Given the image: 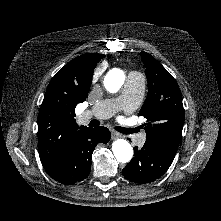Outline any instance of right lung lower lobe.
<instances>
[{
    "mask_svg": "<svg viewBox=\"0 0 221 221\" xmlns=\"http://www.w3.org/2000/svg\"><path fill=\"white\" fill-rule=\"evenodd\" d=\"M111 133L106 127H82L68 141L56 169L50 176L62 184L84 180L91 171V157L98 143H107Z\"/></svg>",
    "mask_w": 221,
    "mask_h": 221,
    "instance_id": "right-lung-lower-lobe-1",
    "label": "right lung lower lobe"
}]
</instances>
